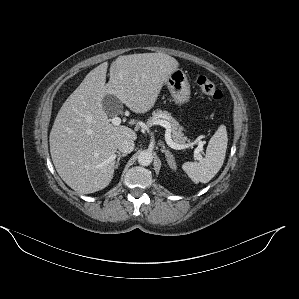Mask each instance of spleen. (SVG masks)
<instances>
[{"label": "spleen", "mask_w": 299, "mask_h": 299, "mask_svg": "<svg viewBox=\"0 0 299 299\" xmlns=\"http://www.w3.org/2000/svg\"><path fill=\"white\" fill-rule=\"evenodd\" d=\"M227 131L224 125L209 140L206 148V155L198 162H186L182 169L187 173L194 183L209 182L220 170L224 163L227 150Z\"/></svg>", "instance_id": "3e777b00"}]
</instances>
